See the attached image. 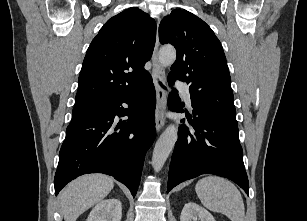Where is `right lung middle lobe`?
Returning <instances> with one entry per match:
<instances>
[{
  "label": "right lung middle lobe",
  "instance_id": "dd1d6c3e",
  "mask_svg": "<svg viewBox=\"0 0 307 221\" xmlns=\"http://www.w3.org/2000/svg\"><path fill=\"white\" fill-rule=\"evenodd\" d=\"M107 104H88L75 106L72 113V120L70 124L77 123L81 120H84L94 114H97L105 108Z\"/></svg>",
  "mask_w": 307,
  "mask_h": 221
}]
</instances>
